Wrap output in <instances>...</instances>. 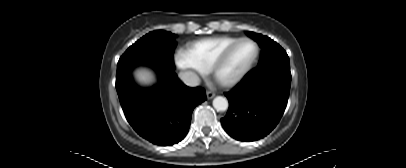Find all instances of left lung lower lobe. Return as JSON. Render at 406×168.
Instances as JSON below:
<instances>
[{
  "instance_id": "obj_1",
  "label": "left lung lower lobe",
  "mask_w": 406,
  "mask_h": 168,
  "mask_svg": "<svg viewBox=\"0 0 406 168\" xmlns=\"http://www.w3.org/2000/svg\"><path fill=\"white\" fill-rule=\"evenodd\" d=\"M291 85L290 69L275 65L257 66L230 92L225 93L229 109L221 123L240 141H255L278 124L287 105Z\"/></svg>"
}]
</instances>
